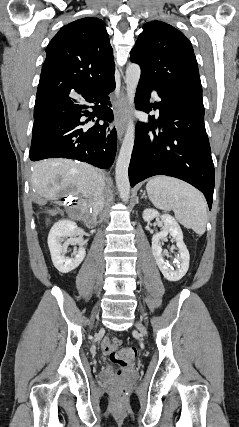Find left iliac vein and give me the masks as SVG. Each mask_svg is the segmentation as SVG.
I'll list each match as a JSON object with an SVG mask.
<instances>
[{
    "instance_id": "left-iliac-vein-1",
    "label": "left iliac vein",
    "mask_w": 239,
    "mask_h": 427,
    "mask_svg": "<svg viewBox=\"0 0 239 427\" xmlns=\"http://www.w3.org/2000/svg\"><path fill=\"white\" fill-rule=\"evenodd\" d=\"M136 326L142 334H144V335L146 334V329L144 328V326L141 323H137Z\"/></svg>"
}]
</instances>
